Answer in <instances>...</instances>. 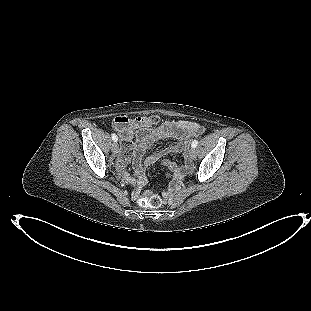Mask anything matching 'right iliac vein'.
<instances>
[{"mask_svg": "<svg viewBox=\"0 0 311 311\" xmlns=\"http://www.w3.org/2000/svg\"><path fill=\"white\" fill-rule=\"evenodd\" d=\"M118 149H119V144L117 142H114L112 144V152L113 153H117L118 152Z\"/></svg>", "mask_w": 311, "mask_h": 311, "instance_id": "1", "label": "right iliac vein"}]
</instances>
